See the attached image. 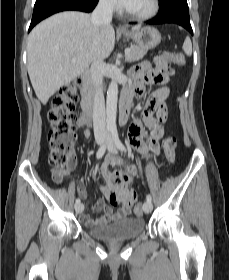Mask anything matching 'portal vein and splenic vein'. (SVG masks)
Masks as SVG:
<instances>
[{
    "label": "portal vein and splenic vein",
    "instance_id": "obj_1",
    "mask_svg": "<svg viewBox=\"0 0 229 280\" xmlns=\"http://www.w3.org/2000/svg\"><path fill=\"white\" fill-rule=\"evenodd\" d=\"M130 52H131V49H130V48L125 49V55H126V56H128V55L130 54ZM71 61H72V62H75V59L72 58Z\"/></svg>",
    "mask_w": 229,
    "mask_h": 280
}]
</instances>
